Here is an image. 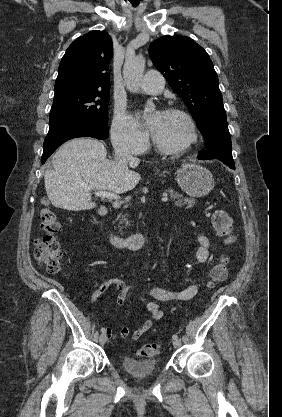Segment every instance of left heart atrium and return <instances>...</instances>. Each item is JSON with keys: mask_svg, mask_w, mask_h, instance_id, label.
I'll return each mask as SVG.
<instances>
[{"mask_svg": "<svg viewBox=\"0 0 282 417\" xmlns=\"http://www.w3.org/2000/svg\"><path fill=\"white\" fill-rule=\"evenodd\" d=\"M159 114L153 116L149 121V127L154 131L158 125Z\"/></svg>", "mask_w": 282, "mask_h": 417, "instance_id": "left-heart-atrium-1", "label": "left heart atrium"}]
</instances>
